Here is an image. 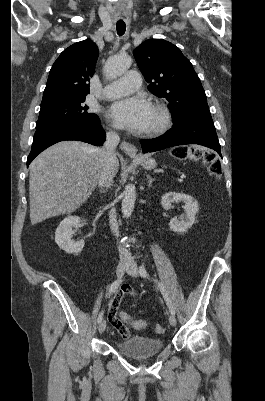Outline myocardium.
<instances>
[{"mask_svg": "<svg viewBox=\"0 0 265 401\" xmlns=\"http://www.w3.org/2000/svg\"><path fill=\"white\" fill-rule=\"evenodd\" d=\"M152 108L156 110L158 120L153 127L144 130V133L148 136H153L164 131L168 127L171 119L170 112L164 104L155 102L152 104Z\"/></svg>", "mask_w": 265, "mask_h": 401, "instance_id": "myocardium-1", "label": "myocardium"}]
</instances>
